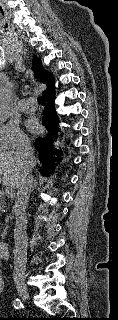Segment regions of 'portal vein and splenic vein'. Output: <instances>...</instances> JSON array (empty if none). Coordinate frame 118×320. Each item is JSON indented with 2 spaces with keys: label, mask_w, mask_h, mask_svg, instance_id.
Listing matches in <instances>:
<instances>
[{
  "label": "portal vein and splenic vein",
  "mask_w": 118,
  "mask_h": 320,
  "mask_svg": "<svg viewBox=\"0 0 118 320\" xmlns=\"http://www.w3.org/2000/svg\"><path fill=\"white\" fill-rule=\"evenodd\" d=\"M13 188L12 187H9V186H6L5 187V194L8 196V197H13L14 196V193H13Z\"/></svg>",
  "instance_id": "1"
}]
</instances>
